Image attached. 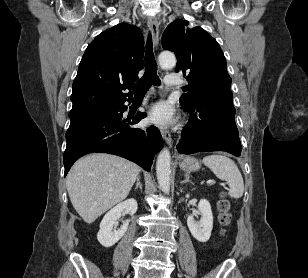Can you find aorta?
Here are the masks:
<instances>
[{
    "instance_id": "1",
    "label": "aorta",
    "mask_w": 308,
    "mask_h": 278,
    "mask_svg": "<svg viewBox=\"0 0 308 278\" xmlns=\"http://www.w3.org/2000/svg\"><path fill=\"white\" fill-rule=\"evenodd\" d=\"M160 65L163 67H173L176 64L175 55L169 51H164L159 55ZM171 155L167 148L163 149L156 162V175L160 189L168 194L170 192Z\"/></svg>"
}]
</instances>
